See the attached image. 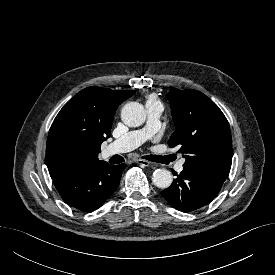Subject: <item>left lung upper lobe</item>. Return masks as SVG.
Returning <instances> with one entry per match:
<instances>
[{"label":"left lung upper lobe","mask_w":275,"mask_h":275,"mask_svg":"<svg viewBox=\"0 0 275 275\" xmlns=\"http://www.w3.org/2000/svg\"><path fill=\"white\" fill-rule=\"evenodd\" d=\"M176 131L169 139L178 146L183 166L228 177L232 141L228 121L219 107L196 90L171 89L167 94Z\"/></svg>","instance_id":"1"}]
</instances>
